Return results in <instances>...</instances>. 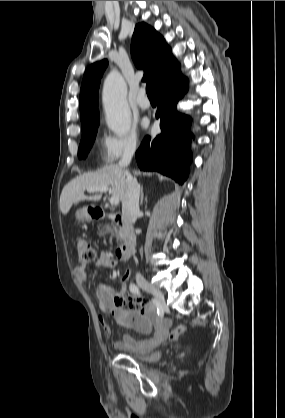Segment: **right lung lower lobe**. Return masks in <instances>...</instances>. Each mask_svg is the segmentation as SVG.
<instances>
[{"mask_svg": "<svg viewBox=\"0 0 285 418\" xmlns=\"http://www.w3.org/2000/svg\"><path fill=\"white\" fill-rule=\"evenodd\" d=\"M188 81L181 74L160 92L156 118H160L161 133L145 137L136 152L138 166L144 171H158L183 184L192 162L189 132L191 118L176 110L177 102L187 92Z\"/></svg>", "mask_w": 285, "mask_h": 418, "instance_id": "obj_1", "label": "right lung lower lobe"}]
</instances>
